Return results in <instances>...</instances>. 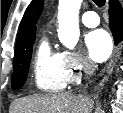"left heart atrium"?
I'll use <instances>...</instances> for the list:
<instances>
[{"label":"left heart atrium","mask_w":123,"mask_h":113,"mask_svg":"<svg viewBox=\"0 0 123 113\" xmlns=\"http://www.w3.org/2000/svg\"><path fill=\"white\" fill-rule=\"evenodd\" d=\"M85 45L89 57L94 62H103L112 52V41L109 34L97 29L89 32L85 37Z\"/></svg>","instance_id":"39dd6f15"}]
</instances>
